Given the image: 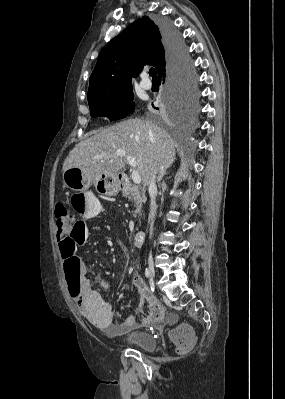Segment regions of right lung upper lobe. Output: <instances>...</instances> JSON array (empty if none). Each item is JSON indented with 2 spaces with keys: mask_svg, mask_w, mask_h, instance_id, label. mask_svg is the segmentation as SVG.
Returning <instances> with one entry per match:
<instances>
[{
  "mask_svg": "<svg viewBox=\"0 0 285 399\" xmlns=\"http://www.w3.org/2000/svg\"><path fill=\"white\" fill-rule=\"evenodd\" d=\"M166 50L159 25L148 16L136 20L101 50L88 89V100L132 89L146 64L160 73L165 66Z\"/></svg>",
  "mask_w": 285,
  "mask_h": 399,
  "instance_id": "obj_1",
  "label": "right lung upper lobe"
}]
</instances>
